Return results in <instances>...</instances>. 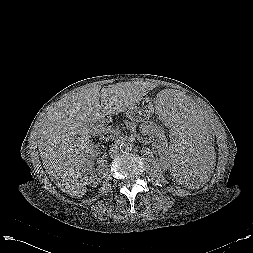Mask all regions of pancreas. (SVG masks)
<instances>
[{
	"instance_id": "1",
	"label": "pancreas",
	"mask_w": 253,
	"mask_h": 253,
	"mask_svg": "<svg viewBox=\"0 0 253 253\" xmlns=\"http://www.w3.org/2000/svg\"><path fill=\"white\" fill-rule=\"evenodd\" d=\"M102 133H104L107 137H105V139L109 140V139H114L115 137H117L119 135V131L113 129L112 127H104L101 131Z\"/></svg>"
}]
</instances>
